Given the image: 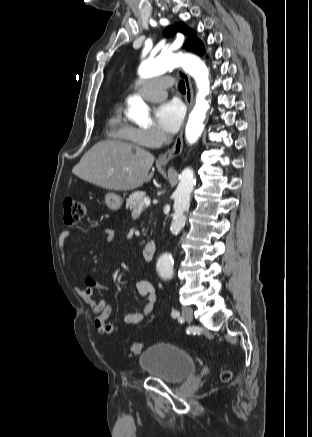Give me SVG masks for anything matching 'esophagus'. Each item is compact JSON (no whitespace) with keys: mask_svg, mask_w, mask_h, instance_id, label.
I'll use <instances>...</instances> for the list:
<instances>
[{"mask_svg":"<svg viewBox=\"0 0 312 437\" xmlns=\"http://www.w3.org/2000/svg\"><path fill=\"white\" fill-rule=\"evenodd\" d=\"M178 74L185 82V87H186L185 100L189 112L193 105V96H194L191 79L189 75L183 70H179ZM183 132H184V126H182L180 134L176 138L173 147L159 157L158 162L160 164H167L171 159H173L174 157L178 156L181 153L183 147Z\"/></svg>","mask_w":312,"mask_h":437,"instance_id":"34e87169","label":"esophagus"}]
</instances>
